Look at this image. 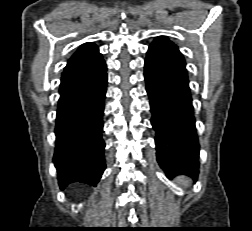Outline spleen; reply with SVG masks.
Wrapping results in <instances>:
<instances>
[{"mask_svg":"<svg viewBox=\"0 0 252 231\" xmlns=\"http://www.w3.org/2000/svg\"><path fill=\"white\" fill-rule=\"evenodd\" d=\"M178 180H179L180 182H182L183 184H185V185H187V184L189 183L188 178L185 177V176L179 177Z\"/></svg>","mask_w":252,"mask_h":231,"instance_id":"1","label":"spleen"}]
</instances>
